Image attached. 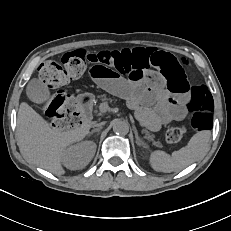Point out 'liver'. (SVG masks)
I'll return each mask as SVG.
<instances>
[{"label": "liver", "instance_id": "liver-1", "mask_svg": "<svg viewBox=\"0 0 231 231\" xmlns=\"http://www.w3.org/2000/svg\"><path fill=\"white\" fill-rule=\"evenodd\" d=\"M90 127V123H83L68 130L53 128L25 102L17 114L20 149L34 164L56 175L65 173L61 163L66 148L84 139Z\"/></svg>", "mask_w": 231, "mask_h": 231}]
</instances>
